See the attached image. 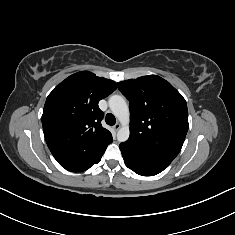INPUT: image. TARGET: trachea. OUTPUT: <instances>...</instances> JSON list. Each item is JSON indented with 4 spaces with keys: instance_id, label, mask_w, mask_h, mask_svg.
Returning a JSON list of instances; mask_svg holds the SVG:
<instances>
[{
    "instance_id": "3493384b",
    "label": "trachea",
    "mask_w": 235,
    "mask_h": 235,
    "mask_svg": "<svg viewBox=\"0 0 235 235\" xmlns=\"http://www.w3.org/2000/svg\"><path fill=\"white\" fill-rule=\"evenodd\" d=\"M105 121L108 125H114L116 123V119H115V116L111 113H108L106 115V118H105Z\"/></svg>"
}]
</instances>
